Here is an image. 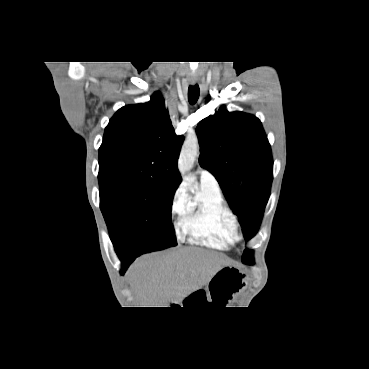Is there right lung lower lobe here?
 Segmentation results:
<instances>
[{
    "label": "right lung lower lobe",
    "instance_id": "obj_1",
    "mask_svg": "<svg viewBox=\"0 0 369 369\" xmlns=\"http://www.w3.org/2000/svg\"><path fill=\"white\" fill-rule=\"evenodd\" d=\"M121 264H122V273L127 269V267L138 257V256H128V255H120L118 254Z\"/></svg>",
    "mask_w": 369,
    "mask_h": 369
}]
</instances>
